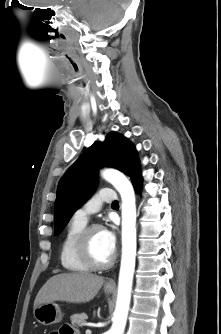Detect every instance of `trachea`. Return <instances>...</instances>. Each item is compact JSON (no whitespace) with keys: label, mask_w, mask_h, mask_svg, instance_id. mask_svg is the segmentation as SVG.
<instances>
[{"label":"trachea","mask_w":221,"mask_h":334,"mask_svg":"<svg viewBox=\"0 0 221 334\" xmlns=\"http://www.w3.org/2000/svg\"><path fill=\"white\" fill-rule=\"evenodd\" d=\"M112 205H118V201H114Z\"/></svg>","instance_id":"obj_1"}]
</instances>
